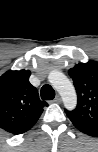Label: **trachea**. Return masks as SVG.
Instances as JSON below:
<instances>
[{
    "label": "trachea",
    "instance_id": "1",
    "mask_svg": "<svg viewBox=\"0 0 98 152\" xmlns=\"http://www.w3.org/2000/svg\"><path fill=\"white\" fill-rule=\"evenodd\" d=\"M40 95L42 100H52L55 97V91L50 85L46 84L41 88Z\"/></svg>",
    "mask_w": 98,
    "mask_h": 152
}]
</instances>
